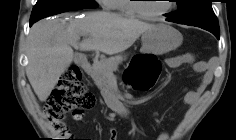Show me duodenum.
<instances>
[{
  "label": "duodenum",
  "mask_w": 236,
  "mask_h": 140,
  "mask_svg": "<svg viewBox=\"0 0 236 140\" xmlns=\"http://www.w3.org/2000/svg\"><path fill=\"white\" fill-rule=\"evenodd\" d=\"M77 59V63L83 68L85 69V71L89 72L91 69V64L89 63V60L87 59V57L83 56V55H78L76 57ZM113 108L120 112V113H125L126 112V108H124L123 105H114Z\"/></svg>",
  "instance_id": "410a0bca"
}]
</instances>
